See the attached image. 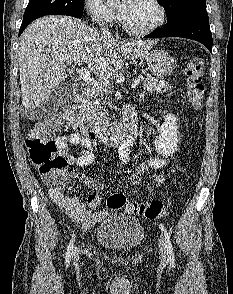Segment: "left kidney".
<instances>
[{
    "instance_id": "5707ae66",
    "label": "left kidney",
    "mask_w": 233,
    "mask_h": 294,
    "mask_svg": "<svg viewBox=\"0 0 233 294\" xmlns=\"http://www.w3.org/2000/svg\"><path fill=\"white\" fill-rule=\"evenodd\" d=\"M178 133V119L173 114L165 115L160 133L154 141L155 150L159 155L164 157L173 155L179 142Z\"/></svg>"
}]
</instances>
